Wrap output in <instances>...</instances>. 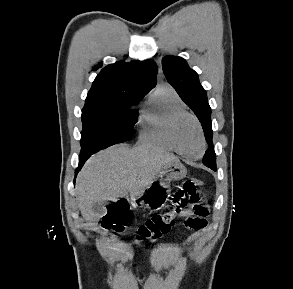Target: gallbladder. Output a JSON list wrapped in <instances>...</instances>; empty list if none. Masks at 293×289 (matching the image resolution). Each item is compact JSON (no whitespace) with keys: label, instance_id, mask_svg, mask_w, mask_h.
Wrapping results in <instances>:
<instances>
[{"label":"gallbladder","instance_id":"bac80fb5","mask_svg":"<svg viewBox=\"0 0 293 289\" xmlns=\"http://www.w3.org/2000/svg\"><path fill=\"white\" fill-rule=\"evenodd\" d=\"M92 211L96 215H98L99 217L104 216L105 213H106V210H105L103 204H101V203H95V204H93Z\"/></svg>","mask_w":293,"mask_h":289}]
</instances>
